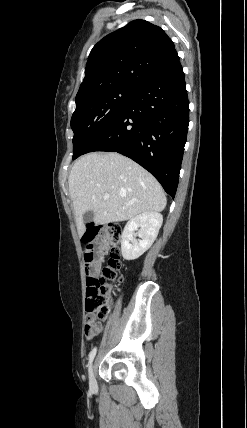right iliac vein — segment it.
I'll use <instances>...</instances> for the list:
<instances>
[{
  "label": "right iliac vein",
  "mask_w": 247,
  "mask_h": 428,
  "mask_svg": "<svg viewBox=\"0 0 247 428\" xmlns=\"http://www.w3.org/2000/svg\"><path fill=\"white\" fill-rule=\"evenodd\" d=\"M89 381H90V386L92 388H95L96 387V381H95V376H94V368L92 365L89 369Z\"/></svg>",
  "instance_id": "right-iliac-vein-1"
}]
</instances>
